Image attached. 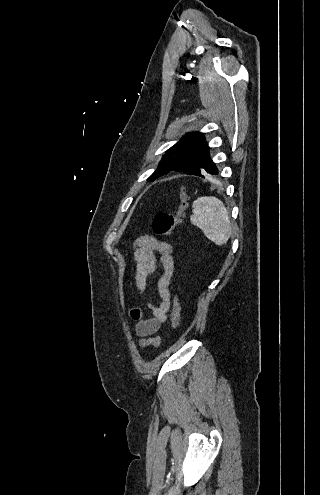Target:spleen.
<instances>
[{
  "label": "spleen",
  "mask_w": 320,
  "mask_h": 495,
  "mask_svg": "<svg viewBox=\"0 0 320 495\" xmlns=\"http://www.w3.org/2000/svg\"><path fill=\"white\" fill-rule=\"evenodd\" d=\"M192 207L191 223L216 245L227 243L231 235V223L222 201L213 196H203L197 198Z\"/></svg>",
  "instance_id": "obj_1"
}]
</instances>
